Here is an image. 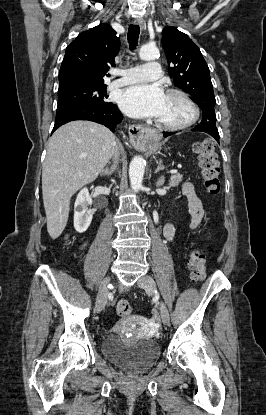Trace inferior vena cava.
<instances>
[{
	"mask_svg": "<svg viewBox=\"0 0 266 415\" xmlns=\"http://www.w3.org/2000/svg\"><path fill=\"white\" fill-rule=\"evenodd\" d=\"M115 158H114V163H115V168H116V164H117V156H118V149L116 148V152H115Z\"/></svg>",
	"mask_w": 266,
	"mask_h": 415,
	"instance_id": "602c4592",
	"label": "inferior vena cava"
}]
</instances>
